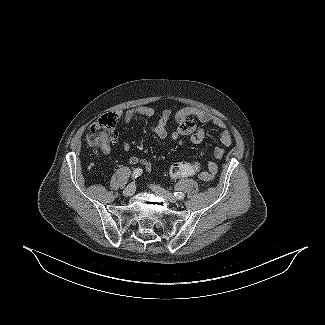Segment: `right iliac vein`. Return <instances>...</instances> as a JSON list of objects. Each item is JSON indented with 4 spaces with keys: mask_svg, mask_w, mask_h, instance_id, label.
Segmentation results:
<instances>
[{
    "mask_svg": "<svg viewBox=\"0 0 325 325\" xmlns=\"http://www.w3.org/2000/svg\"><path fill=\"white\" fill-rule=\"evenodd\" d=\"M136 191V185L135 183L129 184L123 191V195L125 197H131Z\"/></svg>",
    "mask_w": 325,
    "mask_h": 325,
    "instance_id": "1",
    "label": "right iliac vein"
}]
</instances>
